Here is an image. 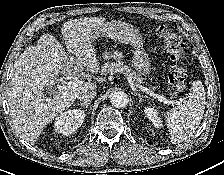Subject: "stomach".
<instances>
[{
  "instance_id": "stomach-1",
  "label": "stomach",
  "mask_w": 224,
  "mask_h": 175,
  "mask_svg": "<svg viewBox=\"0 0 224 175\" xmlns=\"http://www.w3.org/2000/svg\"><path fill=\"white\" fill-rule=\"evenodd\" d=\"M100 35L133 46L135 51L133 53L132 66L142 74L149 73L151 65L148 55L141 46L139 32L132 25L121 21L106 22L92 31L91 38L94 40L100 37ZM110 57L112 56L104 54L105 59Z\"/></svg>"
}]
</instances>
